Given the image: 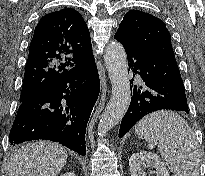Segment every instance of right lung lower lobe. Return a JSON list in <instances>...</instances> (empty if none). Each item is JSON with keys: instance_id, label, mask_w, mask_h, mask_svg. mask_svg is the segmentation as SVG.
Returning a JSON list of instances; mask_svg holds the SVG:
<instances>
[{"instance_id": "right-lung-lower-lobe-1", "label": "right lung lower lobe", "mask_w": 205, "mask_h": 176, "mask_svg": "<svg viewBox=\"0 0 205 176\" xmlns=\"http://www.w3.org/2000/svg\"><path fill=\"white\" fill-rule=\"evenodd\" d=\"M99 90L92 57L21 102L10 131V144L45 139L84 156L86 126Z\"/></svg>"}]
</instances>
